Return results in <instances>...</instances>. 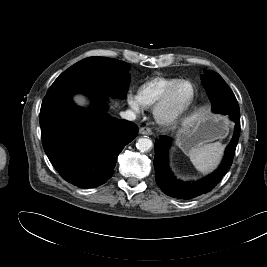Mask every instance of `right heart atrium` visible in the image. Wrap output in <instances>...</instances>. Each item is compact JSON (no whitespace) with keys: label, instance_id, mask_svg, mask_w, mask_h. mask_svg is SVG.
Here are the masks:
<instances>
[{"label":"right heart atrium","instance_id":"obj_1","mask_svg":"<svg viewBox=\"0 0 267 267\" xmlns=\"http://www.w3.org/2000/svg\"><path fill=\"white\" fill-rule=\"evenodd\" d=\"M127 103L137 113L141 112L144 108V104L141 102L139 96L133 93L127 95Z\"/></svg>","mask_w":267,"mask_h":267}]
</instances>
